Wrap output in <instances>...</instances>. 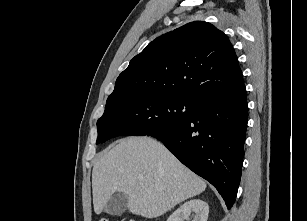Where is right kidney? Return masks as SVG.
I'll return each mask as SVG.
<instances>
[{
  "instance_id": "right-kidney-1",
  "label": "right kidney",
  "mask_w": 307,
  "mask_h": 221,
  "mask_svg": "<svg viewBox=\"0 0 307 221\" xmlns=\"http://www.w3.org/2000/svg\"><path fill=\"white\" fill-rule=\"evenodd\" d=\"M209 206L200 199H193L181 205L167 221H184L189 220L192 214V221H207Z\"/></svg>"
}]
</instances>
